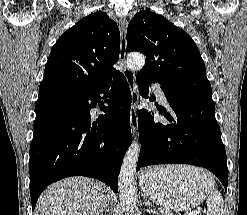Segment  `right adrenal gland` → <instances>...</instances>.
<instances>
[{"label": "right adrenal gland", "mask_w": 247, "mask_h": 215, "mask_svg": "<svg viewBox=\"0 0 247 215\" xmlns=\"http://www.w3.org/2000/svg\"><path fill=\"white\" fill-rule=\"evenodd\" d=\"M107 212H109V203L106 204L104 215H106Z\"/></svg>", "instance_id": "2a0ac1e0"}]
</instances>
